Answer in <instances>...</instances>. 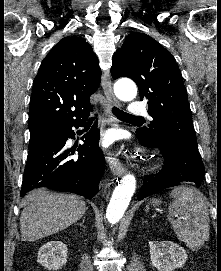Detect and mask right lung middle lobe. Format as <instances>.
Instances as JSON below:
<instances>
[{"instance_id": "dd1d6c3e", "label": "right lung middle lobe", "mask_w": 221, "mask_h": 271, "mask_svg": "<svg viewBox=\"0 0 221 271\" xmlns=\"http://www.w3.org/2000/svg\"><path fill=\"white\" fill-rule=\"evenodd\" d=\"M61 131L62 127H47L30 131L29 148L57 136Z\"/></svg>"}]
</instances>
